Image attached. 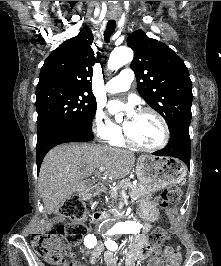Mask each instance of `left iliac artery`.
I'll return each instance as SVG.
<instances>
[{"mask_svg":"<svg viewBox=\"0 0 221 266\" xmlns=\"http://www.w3.org/2000/svg\"><path fill=\"white\" fill-rule=\"evenodd\" d=\"M109 235H112L113 233H108ZM105 245L107 247V249L111 250V251H115L117 250V244L115 241H112L110 238H107V240L105 241Z\"/></svg>","mask_w":221,"mask_h":266,"instance_id":"1","label":"left iliac artery"}]
</instances>
